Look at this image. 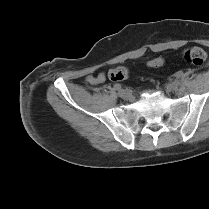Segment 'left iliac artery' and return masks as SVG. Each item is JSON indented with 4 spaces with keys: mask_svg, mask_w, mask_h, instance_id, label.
Here are the masks:
<instances>
[{
    "mask_svg": "<svg viewBox=\"0 0 209 209\" xmlns=\"http://www.w3.org/2000/svg\"><path fill=\"white\" fill-rule=\"evenodd\" d=\"M176 78H177L178 80H181V79L183 78V74H182L181 72H178V73L176 74Z\"/></svg>",
    "mask_w": 209,
    "mask_h": 209,
    "instance_id": "1",
    "label": "left iliac artery"
}]
</instances>
